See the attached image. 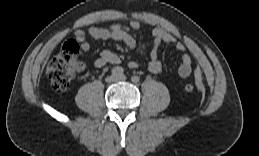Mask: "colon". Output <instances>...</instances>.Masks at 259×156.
Here are the masks:
<instances>
[{"instance_id":"1","label":"colon","mask_w":259,"mask_h":156,"mask_svg":"<svg viewBox=\"0 0 259 156\" xmlns=\"http://www.w3.org/2000/svg\"><path fill=\"white\" fill-rule=\"evenodd\" d=\"M79 52L78 43L70 40L49 61L46 73L56 90H65L74 77L83 69V64L78 58ZM184 90L187 93H192L194 85L188 82L184 85Z\"/></svg>"}]
</instances>
